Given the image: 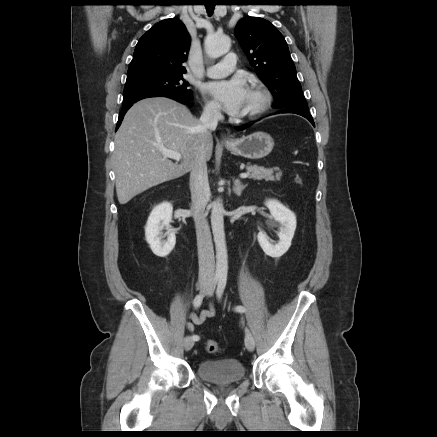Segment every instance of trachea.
Returning a JSON list of instances; mask_svg holds the SVG:
<instances>
[{"instance_id": "3493384b", "label": "trachea", "mask_w": 437, "mask_h": 437, "mask_svg": "<svg viewBox=\"0 0 437 437\" xmlns=\"http://www.w3.org/2000/svg\"><path fill=\"white\" fill-rule=\"evenodd\" d=\"M205 7H206L208 15L211 16L213 14L215 5H206Z\"/></svg>"}]
</instances>
